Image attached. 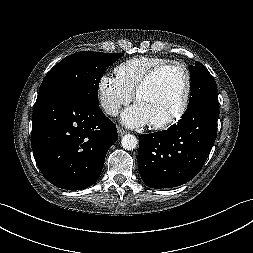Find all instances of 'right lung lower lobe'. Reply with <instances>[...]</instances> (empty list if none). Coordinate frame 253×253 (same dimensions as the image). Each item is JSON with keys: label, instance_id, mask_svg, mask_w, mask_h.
Instances as JSON below:
<instances>
[{"label": "right lung lower lobe", "instance_id": "1", "mask_svg": "<svg viewBox=\"0 0 253 253\" xmlns=\"http://www.w3.org/2000/svg\"><path fill=\"white\" fill-rule=\"evenodd\" d=\"M31 146L43 176L53 185L81 190L99 178L116 126L98 105L50 94L36 100Z\"/></svg>", "mask_w": 253, "mask_h": 253}]
</instances>
